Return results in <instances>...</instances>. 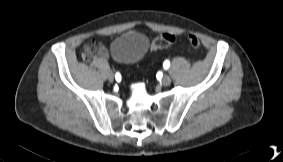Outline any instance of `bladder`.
I'll return each instance as SVG.
<instances>
[{
	"label": "bladder",
	"mask_w": 283,
	"mask_h": 162,
	"mask_svg": "<svg viewBox=\"0 0 283 162\" xmlns=\"http://www.w3.org/2000/svg\"><path fill=\"white\" fill-rule=\"evenodd\" d=\"M149 47L148 38L135 31L119 35L111 44L112 57L122 63H134L141 60Z\"/></svg>",
	"instance_id": "31cf9c89"
}]
</instances>
